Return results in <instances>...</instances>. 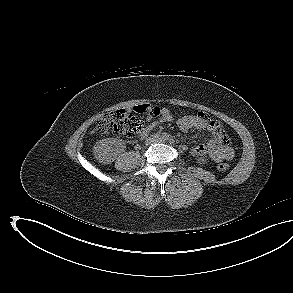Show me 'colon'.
Segmentation results:
<instances>
[{
	"label": "colon",
	"mask_w": 293,
	"mask_h": 293,
	"mask_svg": "<svg viewBox=\"0 0 293 293\" xmlns=\"http://www.w3.org/2000/svg\"><path fill=\"white\" fill-rule=\"evenodd\" d=\"M144 126L143 119L126 110H115L99 119L97 131L101 134L112 133L118 136L131 137L139 133ZM217 169L225 172L229 169L227 163H219Z\"/></svg>",
	"instance_id": "colon-1"
}]
</instances>
